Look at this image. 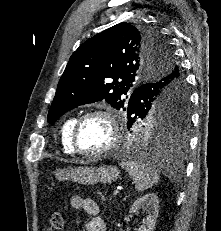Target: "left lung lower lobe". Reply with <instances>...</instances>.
<instances>
[{
	"instance_id": "left-lung-lower-lobe-1",
	"label": "left lung lower lobe",
	"mask_w": 221,
	"mask_h": 231,
	"mask_svg": "<svg viewBox=\"0 0 221 231\" xmlns=\"http://www.w3.org/2000/svg\"><path fill=\"white\" fill-rule=\"evenodd\" d=\"M176 73H173L171 76H167L165 79L155 82V83H148L143 86H140L136 88L132 95L130 96L129 101L132 102L133 105L137 104V106L140 104L139 101H143V98L149 94L150 92H158V91H166L169 90V92H172L174 88L177 86V84H169V80L172 78H175ZM180 86L186 87L185 80L180 83ZM187 90V88H186ZM188 94V91H187ZM174 96V95H173ZM175 98V99H174ZM172 102L174 104V107L176 108L182 104L184 101H182L177 97H174ZM133 116L131 119H128V128L132 127V125L135 123L136 120ZM160 132H153L150 135H143L139 141L140 144L144 145V149H136L135 154L141 158H149V153L154 150H161L163 157H159L158 162H160L163 158V163L170 164L171 162H175L178 160L186 151L187 148V137L184 133H179L176 135H160ZM151 158V157H150ZM170 162V163H169Z\"/></svg>"
}]
</instances>
